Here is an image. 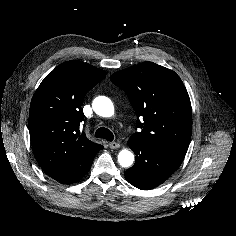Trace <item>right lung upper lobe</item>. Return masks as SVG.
<instances>
[{"mask_svg": "<svg viewBox=\"0 0 236 236\" xmlns=\"http://www.w3.org/2000/svg\"><path fill=\"white\" fill-rule=\"evenodd\" d=\"M105 76V71L92 65L68 61L37 88L28 125L34 156L46 173L94 157L103 148L87 139L80 123L86 93Z\"/></svg>", "mask_w": 236, "mask_h": 236, "instance_id": "cb5924a9", "label": "right lung upper lobe"}]
</instances>
